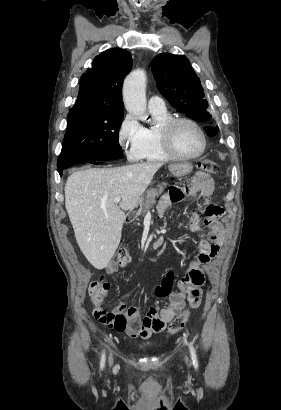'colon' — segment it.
I'll list each match as a JSON object with an SVG mask.
<instances>
[{
  "label": "colon",
  "instance_id": "1",
  "mask_svg": "<svg viewBox=\"0 0 281 410\" xmlns=\"http://www.w3.org/2000/svg\"><path fill=\"white\" fill-rule=\"evenodd\" d=\"M200 170L203 173H216L219 170L218 165L211 160H203L200 165ZM189 191L188 187L175 186L168 192L169 198L172 202H178L182 200ZM199 205L205 209L206 215L209 216H221L223 214V209L216 205L210 203L208 196L201 195L199 199ZM130 262L129 253L123 249L120 250L117 255V265L120 267H125ZM110 289V284L105 281L103 277L98 280L93 281L89 286V295L91 297L92 303L95 306V317L101 323L108 327H111L117 331L125 330L129 326V315H124L120 313H115L113 311H108L102 308V305L107 297ZM193 305H198V302H194ZM190 316L189 311H185L178 315L169 326V333L174 334L181 330L186 321Z\"/></svg>",
  "mask_w": 281,
  "mask_h": 410
}]
</instances>
